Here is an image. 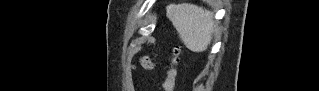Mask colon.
<instances>
[{
  "label": "colon",
  "mask_w": 319,
  "mask_h": 91,
  "mask_svg": "<svg viewBox=\"0 0 319 91\" xmlns=\"http://www.w3.org/2000/svg\"><path fill=\"white\" fill-rule=\"evenodd\" d=\"M179 63H180V48L176 46L173 49L171 66L168 70L167 77L164 83V90L172 91L174 89ZM145 64L150 65V62L146 60Z\"/></svg>",
  "instance_id": "1"
}]
</instances>
